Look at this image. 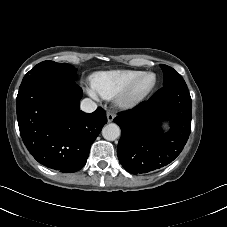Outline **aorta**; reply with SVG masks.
<instances>
[{
    "label": "aorta",
    "instance_id": "1",
    "mask_svg": "<svg viewBox=\"0 0 227 227\" xmlns=\"http://www.w3.org/2000/svg\"><path fill=\"white\" fill-rule=\"evenodd\" d=\"M104 139L114 141L120 136V127L115 123L107 124L102 129Z\"/></svg>",
    "mask_w": 227,
    "mask_h": 227
}]
</instances>
